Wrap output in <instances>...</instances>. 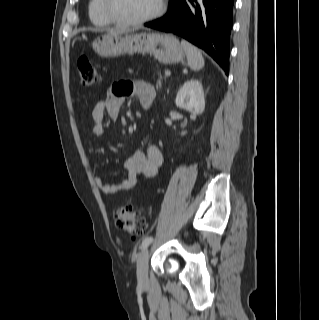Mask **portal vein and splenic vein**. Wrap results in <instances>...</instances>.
I'll use <instances>...</instances> for the list:
<instances>
[{
	"mask_svg": "<svg viewBox=\"0 0 319 320\" xmlns=\"http://www.w3.org/2000/svg\"><path fill=\"white\" fill-rule=\"evenodd\" d=\"M165 75L166 76H170L171 75V72L169 70L165 71Z\"/></svg>",
	"mask_w": 319,
	"mask_h": 320,
	"instance_id": "1",
	"label": "portal vein and splenic vein"
}]
</instances>
